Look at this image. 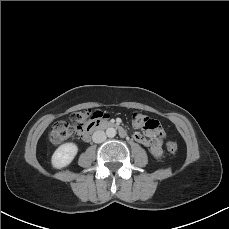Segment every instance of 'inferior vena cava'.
I'll return each mask as SVG.
<instances>
[{
    "label": "inferior vena cava",
    "instance_id": "inferior-vena-cava-1",
    "mask_svg": "<svg viewBox=\"0 0 229 229\" xmlns=\"http://www.w3.org/2000/svg\"><path fill=\"white\" fill-rule=\"evenodd\" d=\"M92 140L94 143H102L106 140V134L104 131H95L92 135Z\"/></svg>",
    "mask_w": 229,
    "mask_h": 229
}]
</instances>
